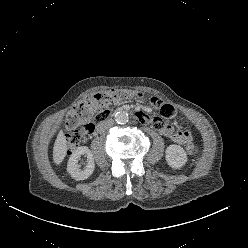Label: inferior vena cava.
Listing matches in <instances>:
<instances>
[{
  "instance_id": "inferior-vena-cava-1",
  "label": "inferior vena cava",
  "mask_w": 248,
  "mask_h": 248,
  "mask_svg": "<svg viewBox=\"0 0 248 248\" xmlns=\"http://www.w3.org/2000/svg\"><path fill=\"white\" fill-rule=\"evenodd\" d=\"M114 125V120L113 119H108L99 124V128L104 131L106 129H109Z\"/></svg>"
}]
</instances>
